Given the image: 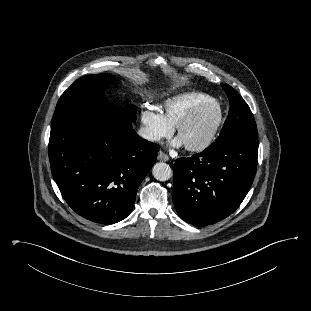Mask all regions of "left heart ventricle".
Instances as JSON below:
<instances>
[{
  "label": "left heart ventricle",
  "mask_w": 311,
  "mask_h": 311,
  "mask_svg": "<svg viewBox=\"0 0 311 311\" xmlns=\"http://www.w3.org/2000/svg\"><path fill=\"white\" fill-rule=\"evenodd\" d=\"M215 107L211 106L186 126L179 135L184 145L198 144L208 135L214 119Z\"/></svg>",
  "instance_id": "left-heart-ventricle-1"
}]
</instances>
